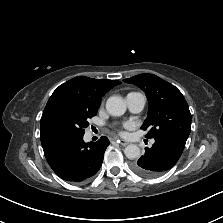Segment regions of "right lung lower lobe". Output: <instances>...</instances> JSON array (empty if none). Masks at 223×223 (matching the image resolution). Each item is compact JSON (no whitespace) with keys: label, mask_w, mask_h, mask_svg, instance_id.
<instances>
[{"label":"right lung lower lobe","mask_w":223,"mask_h":223,"mask_svg":"<svg viewBox=\"0 0 223 223\" xmlns=\"http://www.w3.org/2000/svg\"><path fill=\"white\" fill-rule=\"evenodd\" d=\"M41 143L53 171L73 183L85 182L98 172L110 144L105 136L89 143L83 141V136H53Z\"/></svg>","instance_id":"right-lung-lower-lobe-1"}]
</instances>
